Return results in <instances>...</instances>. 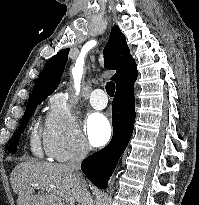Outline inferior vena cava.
Listing matches in <instances>:
<instances>
[{"instance_id":"inferior-vena-cava-1","label":"inferior vena cava","mask_w":199,"mask_h":205,"mask_svg":"<svg viewBox=\"0 0 199 205\" xmlns=\"http://www.w3.org/2000/svg\"><path fill=\"white\" fill-rule=\"evenodd\" d=\"M88 152H89L88 144L85 141H81L79 145L77 146L76 150L74 151L71 159L66 165L69 170L75 171L77 180L82 187L83 199H82L81 205H93L91 194L86 189L84 185L83 176L80 173L81 162L87 157Z\"/></svg>"}]
</instances>
